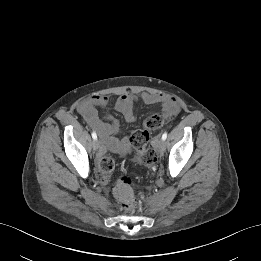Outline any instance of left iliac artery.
Here are the masks:
<instances>
[{
  "instance_id": "44dca946",
  "label": "left iliac artery",
  "mask_w": 261,
  "mask_h": 261,
  "mask_svg": "<svg viewBox=\"0 0 261 261\" xmlns=\"http://www.w3.org/2000/svg\"><path fill=\"white\" fill-rule=\"evenodd\" d=\"M166 138H167V132L163 133V135H162L163 140H166Z\"/></svg>"
}]
</instances>
